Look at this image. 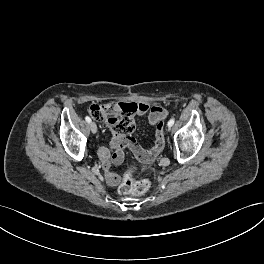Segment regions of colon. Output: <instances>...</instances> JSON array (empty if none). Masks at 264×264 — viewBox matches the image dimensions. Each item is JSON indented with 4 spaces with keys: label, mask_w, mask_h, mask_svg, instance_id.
Segmentation results:
<instances>
[{
    "label": "colon",
    "mask_w": 264,
    "mask_h": 264,
    "mask_svg": "<svg viewBox=\"0 0 264 264\" xmlns=\"http://www.w3.org/2000/svg\"><path fill=\"white\" fill-rule=\"evenodd\" d=\"M137 112L135 103H106L95 104L89 108V113L97 121H105L112 131L120 134H129L134 130V115ZM155 141L158 145L164 144L163 122L156 126ZM136 166L130 167L124 174L119 186L121 194L141 195L145 193L150 182L146 179H135Z\"/></svg>",
    "instance_id": "1"
}]
</instances>
